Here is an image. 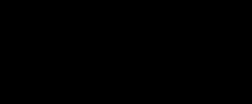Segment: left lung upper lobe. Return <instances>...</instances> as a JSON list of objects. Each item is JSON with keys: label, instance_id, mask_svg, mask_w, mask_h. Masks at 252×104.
<instances>
[{"label": "left lung upper lobe", "instance_id": "1", "mask_svg": "<svg viewBox=\"0 0 252 104\" xmlns=\"http://www.w3.org/2000/svg\"><path fill=\"white\" fill-rule=\"evenodd\" d=\"M208 73H215L214 65L208 53L198 44L196 46L192 64L181 74L180 78Z\"/></svg>", "mask_w": 252, "mask_h": 104}]
</instances>
